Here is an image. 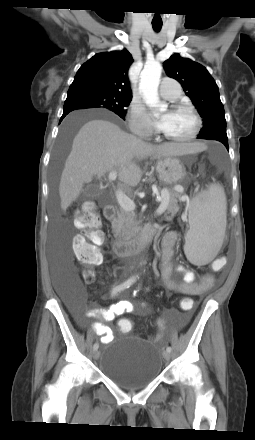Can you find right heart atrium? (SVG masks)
Listing matches in <instances>:
<instances>
[{
    "instance_id": "1",
    "label": "right heart atrium",
    "mask_w": 255,
    "mask_h": 440,
    "mask_svg": "<svg viewBox=\"0 0 255 440\" xmlns=\"http://www.w3.org/2000/svg\"><path fill=\"white\" fill-rule=\"evenodd\" d=\"M128 122L130 130L135 134L149 135L152 132L144 107L138 101H133L130 105Z\"/></svg>"
}]
</instances>
